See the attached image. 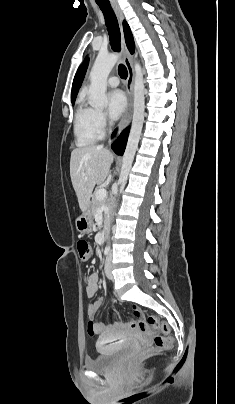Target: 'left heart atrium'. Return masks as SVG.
I'll return each instance as SVG.
<instances>
[{
    "mask_svg": "<svg viewBox=\"0 0 235 404\" xmlns=\"http://www.w3.org/2000/svg\"><path fill=\"white\" fill-rule=\"evenodd\" d=\"M107 111L111 118L117 119L126 108V97L121 90H112L107 96Z\"/></svg>",
    "mask_w": 235,
    "mask_h": 404,
    "instance_id": "39dd6f15",
    "label": "left heart atrium"
}]
</instances>
